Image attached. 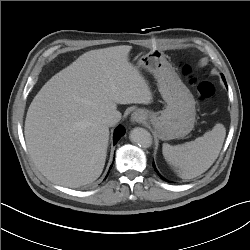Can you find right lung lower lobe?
Listing matches in <instances>:
<instances>
[{
  "label": "right lung lower lobe",
  "instance_id": "1",
  "mask_svg": "<svg viewBox=\"0 0 250 250\" xmlns=\"http://www.w3.org/2000/svg\"><path fill=\"white\" fill-rule=\"evenodd\" d=\"M125 129L122 126H118L114 132V144L119 140V138L124 135Z\"/></svg>",
  "mask_w": 250,
  "mask_h": 250
}]
</instances>
